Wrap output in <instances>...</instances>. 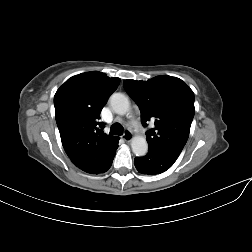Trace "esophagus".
<instances>
[{"label":"esophagus","mask_w":252,"mask_h":252,"mask_svg":"<svg viewBox=\"0 0 252 252\" xmlns=\"http://www.w3.org/2000/svg\"><path fill=\"white\" fill-rule=\"evenodd\" d=\"M133 138L132 133L130 131H125L123 135V139L127 142L131 141Z\"/></svg>","instance_id":"34e87169"}]
</instances>
